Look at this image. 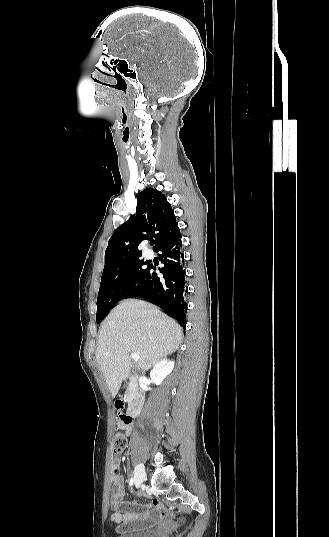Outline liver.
Returning a JSON list of instances; mask_svg holds the SVG:
<instances>
[{
  "mask_svg": "<svg viewBox=\"0 0 329 537\" xmlns=\"http://www.w3.org/2000/svg\"><path fill=\"white\" fill-rule=\"evenodd\" d=\"M180 325L156 306L129 299L117 305L101 325L96 360L112 398L133 367L130 353L140 356L138 367L147 371L179 348Z\"/></svg>",
  "mask_w": 329,
  "mask_h": 537,
  "instance_id": "liver-1",
  "label": "liver"
}]
</instances>
